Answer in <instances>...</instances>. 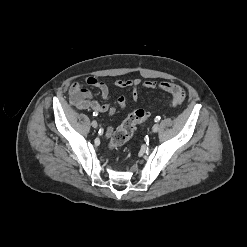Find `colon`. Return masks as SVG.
<instances>
[{
    "instance_id": "5ec220e1",
    "label": "colon",
    "mask_w": 247,
    "mask_h": 247,
    "mask_svg": "<svg viewBox=\"0 0 247 247\" xmlns=\"http://www.w3.org/2000/svg\"><path fill=\"white\" fill-rule=\"evenodd\" d=\"M148 117L149 113L141 109L129 115L113 134L110 141V146L112 148H116L128 142L133 136L137 125L145 121Z\"/></svg>"
}]
</instances>
